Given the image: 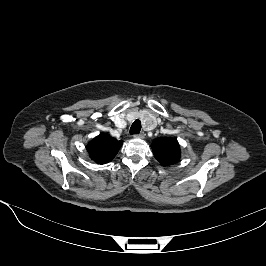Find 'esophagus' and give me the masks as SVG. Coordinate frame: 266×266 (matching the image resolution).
Masks as SVG:
<instances>
[{
	"label": "esophagus",
	"instance_id": "1",
	"mask_svg": "<svg viewBox=\"0 0 266 266\" xmlns=\"http://www.w3.org/2000/svg\"><path fill=\"white\" fill-rule=\"evenodd\" d=\"M135 138H140V139H143L145 137V133L144 132H141L139 134H135L134 135Z\"/></svg>",
	"mask_w": 266,
	"mask_h": 266
}]
</instances>
